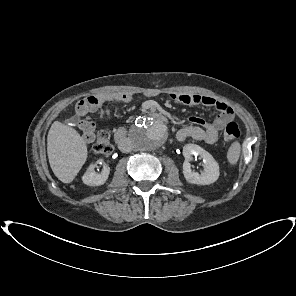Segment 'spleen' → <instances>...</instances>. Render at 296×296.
Listing matches in <instances>:
<instances>
[{"mask_svg":"<svg viewBox=\"0 0 296 296\" xmlns=\"http://www.w3.org/2000/svg\"><path fill=\"white\" fill-rule=\"evenodd\" d=\"M241 152V145L238 141H235L231 144L228 152H227V159L231 165L237 163Z\"/></svg>","mask_w":296,"mask_h":296,"instance_id":"1","label":"spleen"}]
</instances>
